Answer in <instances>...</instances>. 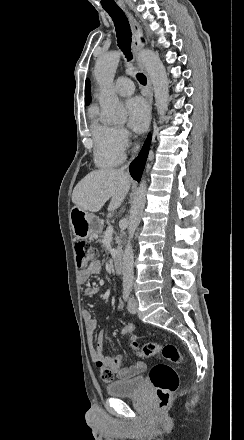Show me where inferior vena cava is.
<instances>
[{"mask_svg": "<svg viewBox=\"0 0 244 440\" xmlns=\"http://www.w3.org/2000/svg\"><path fill=\"white\" fill-rule=\"evenodd\" d=\"M135 150H138V148H135ZM127 168H128V164H127V166H123V168H121V170H127Z\"/></svg>", "mask_w": 244, "mask_h": 440, "instance_id": "obj_1", "label": "inferior vena cava"}]
</instances>
